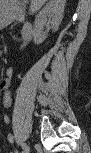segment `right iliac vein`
Wrapping results in <instances>:
<instances>
[{
	"instance_id": "63e3f726",
	"label": "right iliac vein",
	"mask_w": 91,
	"mask_h": 153,
	"mask_svg": "<svg viewBox=\"0 0 91 153\" xmlns=\"http://www.w3.org/2000/svg\"><path fill=\"white\" fill-rule=\"evenodd\" d=\"M23 149H24V153H29V150H30L29 146L26 145Z\"/></svg>"
}]
</instances>
